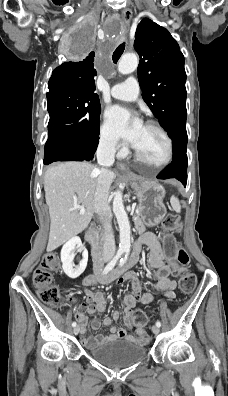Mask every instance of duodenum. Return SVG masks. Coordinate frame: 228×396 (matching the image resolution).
<instances>
[{
  "instance_id": "obj_1",
  "label": "duodenum",
  "mask_w": 228,
  "mask_h": 396,
  "mask_svg": "<svg viewBox=\"0 0 228 396\" xmlns=\"http://www.w3.org/2000/svg\"><path fill=\"white\" fill-rule=\"evenodd\" d=\"M87 241L89 242V244L91 245L92 248V254L94 256L95 259V263L96 266H99V262H100V255H101V250L99 247V243H98V234L96 231H90L87 236ZM134 261L130 260L129 263L127 264H123L122 266L118 267L117 269L113 270L106 278V281H110L113 280L117 277H120L123 272L125 271V269L130 266Z\"/></svg>"
}]
</instances>
